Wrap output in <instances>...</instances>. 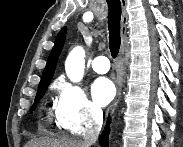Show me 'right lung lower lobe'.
Wrapping results in <instances>:
<instances>
[{
    "label": "right lung lower lobe",
    "instance_id": "right-lung-lower-lobe-1",
    "mask_svg": "<svg viewBox=\"0 0 183 147\" xmlns=\"http://www.w3.org/2000/svg\"><path fill=\"white\" fill-rule=\"evenodd\" d=\"M109 125H110V120L108 119L107 124L100 137V144L102 147H108V134L110 132Z\"/></svg>",
    "mask_w": 183,
    "mask_h": 147
}]
</instances>
